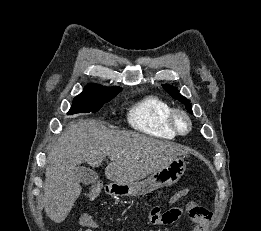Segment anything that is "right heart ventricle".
I'll return each mask as SVG.
<instances>
[{"label": "right heart ventricle", "mask_w": 261, "mask_h": 231, "mask_svg": "<svg viewBox=\"0 0 261 231\" xmlns=\"http://www.w3.org/2000/svg\"><path fill=\"white\" fill-rule=\"evenodd\" d=\"M171 105L158 97H145L136 102L127 113L129 125L146 135L174 139L177 134L171 129L169 116Z\"/></svg>", "instance_id": "right-heart-ventricle-1"}]
</instances>
